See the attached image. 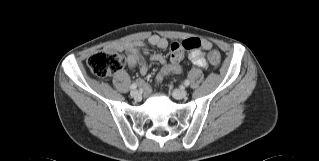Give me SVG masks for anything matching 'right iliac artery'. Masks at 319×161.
I'll return each mask as SVG.
<instances>
[{
  "mask_svg": "<svg viewBox=\"0 0 319 161\" xmlns=\"http://www.w3.org/2000/svg\"><path fill=\"white\" fill-rule=\"evenodd\" d=\"M136 88H137V84L133 83V84L130 85V89L133 90V89H136Z\"/></svg>",
  "mask_w": 319,
  "mask_h": 161,
  "instance_id": "1",
  "label": "right iliac artery"
}]
</instances>
